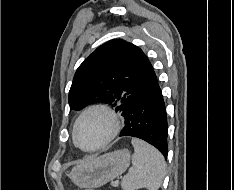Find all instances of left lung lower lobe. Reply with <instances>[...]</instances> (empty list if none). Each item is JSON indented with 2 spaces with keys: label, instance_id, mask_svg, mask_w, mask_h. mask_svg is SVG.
<instances>
[{
  "label": "left lung lower lobe",
  "instance_id": "left-lung-lower-lobe-1",
  "mask_svg": "<svg viewBox=\"0 0 234 190\" xmlns=\"http://www.w3.org/2000/svg\"><path fill=\"white\" fill-rule=\"evenodd\" d=\"M149 65L148 81L129 103L124 115L125 127L120 136H132L145 140L167 158L166 109L154 69L150 62Z\"/></svg>",
  "mask_w": 234,
  "mask_h": 190
}]
</instances>
